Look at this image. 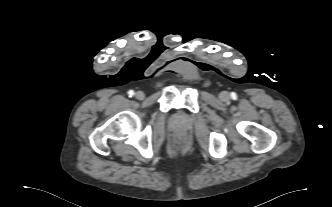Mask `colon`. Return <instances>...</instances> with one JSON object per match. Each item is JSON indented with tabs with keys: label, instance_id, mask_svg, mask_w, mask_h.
<instances>
[{
	"label": "colon",
	"instance_id": "1",
	"mask_svg": "<svg viewBox=\"0 0 332 207\" xmlns=\"http://www.w3.org/2000/svg\"><path fill=\"white\" fill-rule=\"evenodd\" d=\"M180 140H181L180 138L177 139L178 142H179Z\"/></svg>",
	"mask_w": 332,
	"mask_h": 207
}]
</instances>
